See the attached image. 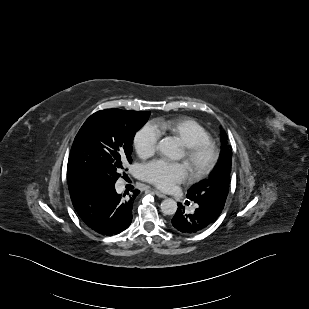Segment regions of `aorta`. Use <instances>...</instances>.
<instances>
[{
    "label": "aorta",
    "mask_w": 309,
    "mask_h": 309,
    "mask_svg": "<svg viewBox=\"0 0 309 309\" xmlns=\"http://www.w3.org/2000/svg\"><path fill=\"white\" fill-rule=\"evenodd\" d=\"M157 149L164 155L171 159H178L180 157V152L176 141L171 137H166L162 139L158 145ZM177 202L171 198H166L161 203V211L165 215H173L177 211Z\"/></svg>",
    "instance_id": "obj_1"
}]
</instances>
